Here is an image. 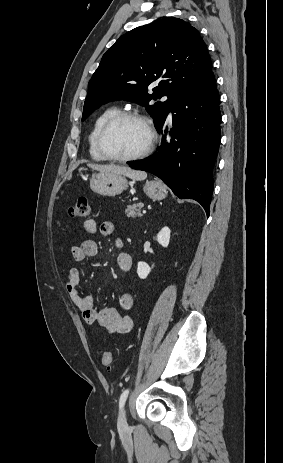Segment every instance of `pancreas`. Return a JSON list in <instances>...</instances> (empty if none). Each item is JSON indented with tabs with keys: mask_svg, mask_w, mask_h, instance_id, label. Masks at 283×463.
I'll list each match as a JSON object with an SVG mask.
<instances>
[{
	"mask_svg": "<svg viewBox=\"0 0 283 463\" xmlns=\"http://www.w3.org/2000/svg\"><path fill=\"white\" fill-rule=\"evenodd\" d=\"M143 203L132 204L127 207L125 213L128 218H137L141 217V208L143 207Z\"/></svg>",
	"mask_w": 283,
	"mask_h": 463,
	"instance_id": "obj_1",
	"label": "pancreas"
}]
</instances>
